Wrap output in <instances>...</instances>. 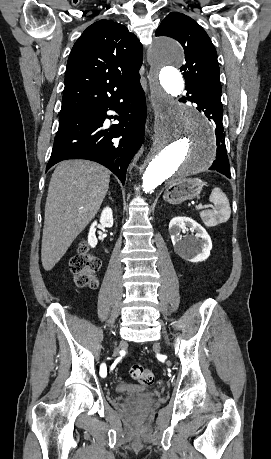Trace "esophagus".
<instances>
[{
    "mask_svg": "<svg viewBox=\"0 0 271 459\" xmlns=\"http://www.w3.org/2000/svg\"><path fill=\"white\" fill-rule=\"evenodd\" d=\"M148 60H149V62H153V58L149 59V56H148ZM146 132H147V133L150 132L149 121L147 122V125H146Z\"/></svg>",
    "mask_w": 271,
    "mask_h": 459,
    "instance_id": "1",
    "label": "esophagus"
}]
</instances>
